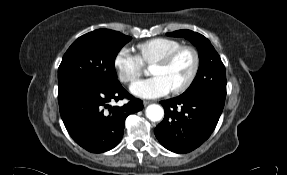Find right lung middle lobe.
<instances>
[{
    "instance_id": "right-lung-middle-lobe-1",
    "label": "right lung middle lobe",
    "mask_w": 287,
    "mask_h": 175,
    "mask_svg": "<svg viewBox=\"0 0 287 175\" xmlns=\"http://www.w3.org/2000/svg\"><path fill=\"white\" fill-rule=\"evenodd\" d=\"M131 40L120 32L98 29L79 37L66 51L58 69V89L74 83L113 88L119 50Z\"/></svg>"
}]
</instances>
